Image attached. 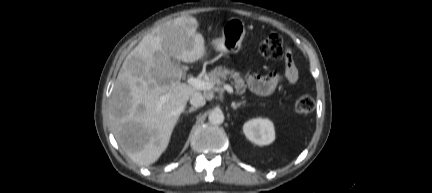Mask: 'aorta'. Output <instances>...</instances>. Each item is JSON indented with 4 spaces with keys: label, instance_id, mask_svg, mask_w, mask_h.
<instances>
[{
    "label": "aorta",
    "instance_id": "aorta-1",
    "mask_svg": "<svg viewBox=\"0 0 432 193\" xmlns=\"http://www.w3.org/2000/svg\"><path fill=\"white\" fill-rule=\"evenodd\" d=\"M208 120L213 125H220L224 122V114L221 110L215 109L209 113Z\"/></svg>",
    "mask_w": 432,
    "mask_h": 193
}]
</instances>
